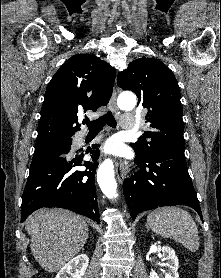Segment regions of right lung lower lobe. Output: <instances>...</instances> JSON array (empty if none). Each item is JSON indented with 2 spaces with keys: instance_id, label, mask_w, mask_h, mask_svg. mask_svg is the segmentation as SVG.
Segmentation results:
<instances>
[{
  "instance_id": "obj_1",
  "label": "right lung lower lobe",
  "mask_w": 221,
  "mask_h": 278,
  "mask_svg": "<svg viewBox=\"0 0 221 278\" xmlns=\"http://www.w3.org/2000/svg\"><path fill=\"white\" fill-rule=\"evenodd\" d=\"M97 146L86 150L94 155V163H83V155L71 158L66 153L30 168L22 196L21 222L39 208L61 207L100 223L94 183L99 150H92ZM76 166H85L86 170H75Z\"/></svg>"
}]
</instances>
